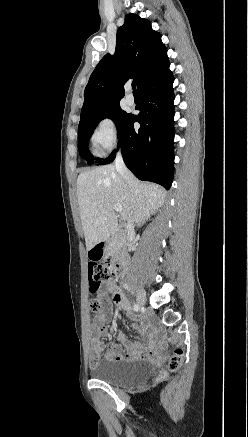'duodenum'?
Here are the masks:
<instances>
[{
	"label": "duodenum",
	"mask_w": 248,
	"mask_h": 437,
	"mask_svg": "<svg viewBox=\"0 0 248 437\" xmlns=\"http://www.w3.org/2000/svg\"><path fill=\"white\" fill-rule=\"evenodd\" d=\"M114 235L121 239H131L132 234L126 233L124 231V228L122 226H117L114 230ZM108 240H103L95 244L94 248H89L87 250V255L89 257H102L104 255V251L107 247ZM128 256L124 252H118L115 256V263L113 264V274L114 276H120L123 272V270L126 268L128 264Z\"/></svg>",
	"instance_id": "410a0bca"
}]
</instances>
